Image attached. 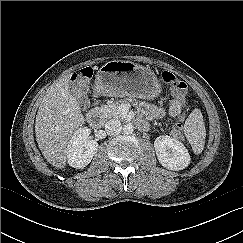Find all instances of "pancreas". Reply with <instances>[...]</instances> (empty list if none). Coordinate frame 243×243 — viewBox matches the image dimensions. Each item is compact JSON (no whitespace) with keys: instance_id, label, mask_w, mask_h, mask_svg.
<instances>
[{"instance_id":"obj_1","label":"pancreas","mask_w":243,"mask_h":243,"mask_svg":"<svg viewBox=\"0 0 243 243\" xmlns=\"http://www.w3.org/2000/svg\"><path fill=\"white\" fill-rule=\"evenodd\" d=\"M100 113L104 119L119 118L123 116L118 103H109L102 106L100 108Z\"/></svg>"}]
</instances>
